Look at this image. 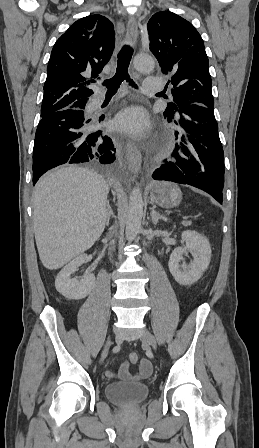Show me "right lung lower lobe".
Instances as JSON below:
<instances>
[{
  "mask_svg": "<svg viewBox=\"0 0 259 448\" xmlns=\"http://www.w3.org/2000/svg\"><path fill=\"white\" fill-rule=\"evenodd\" d=\"M85 106L54 112L40 120L33 149V185L49 169L65 163L109 164L115 160L113 141L99 128L104 115L88 119Z\"/></svg>",
  "mask_w": 259,
  "mask_h": 448,
  "instance_id": "1",
  "label": "right lung lower lobe"
}]
</instances>
